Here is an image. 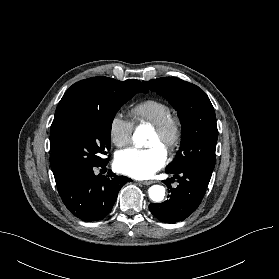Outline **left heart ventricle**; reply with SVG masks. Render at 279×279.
<instances>
[{"instance_id": "left-heart-ventricle-1", "label": "left heart ventricle", "mask_w": 279, "mask_h": 279, "mask_svg": "<svg viewBox=\"0 0 279 279\" xmlns=\"http://www.w3.org/2000/svg\"><path fill=\"white\" fill-rule=\"evenodd\" d=\"M167 139L161 138L159 135H157L154 131L152 132L150 139L148 141L149 146L159 145L163 149L166 150L167 146Z\"/></svg>"}]
</instances>
